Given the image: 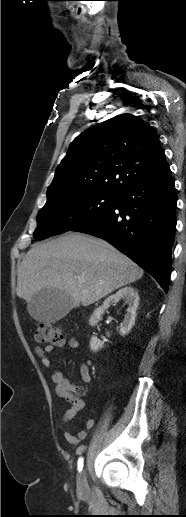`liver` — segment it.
Returning <instances> with one entry per match:
<instances>
[{
    "label": "liver",
    "mask_w": 186,
    "mask_h": 517,
    "mask_svg": "<svg viewBox=\"0 0 186 517\" xmlns=\"http://www.w3.org/2000/svg\"><path fill=\"white\" fill-rule=\"evenodd\" d=\"M143 273L108 242L70 232L32 246L18 268L16 292L29 302L43 289H57L71 297L72 308L88 306Z\"/></svg>",
    "instance_id": "6515ba94"
}]
</instances>
